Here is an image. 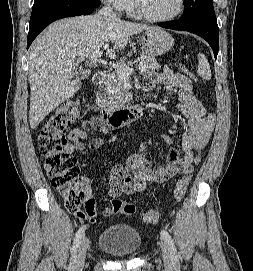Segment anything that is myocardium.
I'll use <instances>...</instances> for the list:
<instances>
[{
	"label": "myocardium",
	"mask_w": 253,
	"mask_h": 271,
	"mask_svg": "<svg viewBox=\"0 0 253 271\" xmlns=\"http://www.w3.org/2000/svg\"><path fill=\"white\" fill-rule=\"evenodd\" d=\"M133 3H134L136 14L139 17L147 21L157 22V23H165V22L173 21L176 18H178L185 9V0H179L178 7L174 13L168 16H164V17H157V16L150 15L145 11L142 0H133Z\"/></svg>",
	"instance_id": "f54148a6"
}]
</instances>
